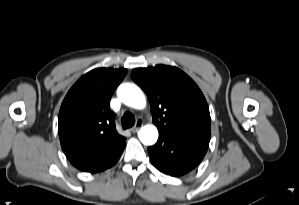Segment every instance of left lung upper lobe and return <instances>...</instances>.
<instances>
[{
  "label": "left lung upper lobe",
  "mask_w": 299,
  "mask_h": 205,
  "mask_svg": "<svg viewBox=\"0 0 299 205\" xmlns=\"http://www.w3.org/2000/svg\"><path fill=\"white\" fill-rule=\"evenodd\" d=\"M132 79L144 90L160 136L177 135L210 141L211 119L204 95L177 67L137 68Z\"/></svg>",
  "instance_id": "obj_1"
}]
</instances>
